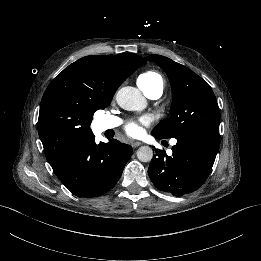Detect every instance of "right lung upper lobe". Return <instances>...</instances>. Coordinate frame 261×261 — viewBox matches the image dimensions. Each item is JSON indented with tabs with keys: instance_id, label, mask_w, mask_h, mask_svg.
<instances>
[{
	"instance_id": "1",
	"label": "right lung upper lobe",
	"mask_w": 261,
	"mask_h": 261,
	"mask_svg": "<svg viewBox=\"0 0 261 261\" xmlns=\"http://www.w3.org/2000/svg\"><path fill=\"white\" fill-rule=\"evenodd\" d=\"M146 61L132 53L86 56L66 67L41 100L38 133L51 166L90 143L94 113Z\"/></svg>"
}]
</instances>
